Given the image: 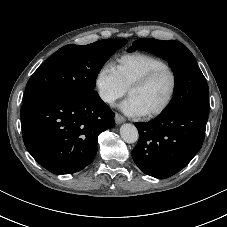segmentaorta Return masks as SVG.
Listing matches in <instances>:
<instances>
[{
	"instance_id": "aorta-1",
	"label": "aorta",
	"mask_w": 227,
	"mask_h": 227,
	"mask_svg": "<svg viewBox=\"0 0 227 227\" xmlns=\"http://www.w3.org/2000/svg\"><path fill=\"white\" fill-rule=\"evenodd\" d=\"M120 136L126 143H135L139 134L137 128L130 123L123 124L120 128Z\"/></svg>"
}]
</instances>
